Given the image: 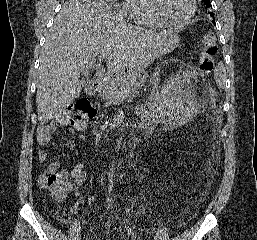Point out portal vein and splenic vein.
Returning <instances> with one entry per match:
<instances>
[{"label":"portal vein and splenic vein","instance_id":"1","mask_svg":"<svg viewBox=\"0 0 257 240\" xmlns=\"http://www.w3.org/2000/svg\"><path fill=\"white\" fill-rule=\"evenodd\" d=\"M108 57L107 54H102L100 56H98V60L101 62L103 59H106ZM129 95V91H124L122 93H120L118 95V97H121V98H124V97H127Z\"/></svg>","mask_w":257,"mask_h":240}]
</instances>
